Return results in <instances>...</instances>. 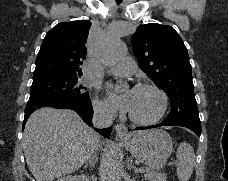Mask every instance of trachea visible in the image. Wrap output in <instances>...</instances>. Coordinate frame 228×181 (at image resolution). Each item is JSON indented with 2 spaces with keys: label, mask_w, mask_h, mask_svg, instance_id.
<instances>
[{
  "label": "trachea",
  "mask_w": 228,
  "mask_h": 181,
  "mask_svg": "<svg viewBox=\"0 0 228 181\" xmlns=\"http://www.w3.org/2000/svg\"><path fill=\"white\" fill-rule=\"evenodd\" d=\"M122 2V0H116V3L119 5Z\"/></svg>",
  "instance_id": "1"
}]
</instances>
